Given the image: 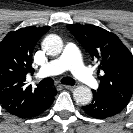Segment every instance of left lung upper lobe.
Returning a JSON list of instances; mask_svg holds the SVG:
<instances>
[{
    "label": "left lung upper lobe",
    "mask_w": 133,
    "mask_h": 133,
    "mask_svg": "<svg viewBox=\"0 0 133 133\" xmlns=\"http://www.w3.org/2000/svg\"><path fill=\"white\" fill-rule=\"evenodd\" d=\"M67 28L98 64L100 85L93 92L127 105L133 94V56L113 33L94 25Z\"/></svg>",
    "instance_id": "left-lung-upper-lobe-1"
}]
</instances>
